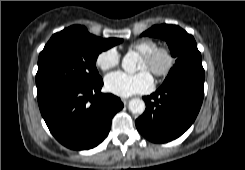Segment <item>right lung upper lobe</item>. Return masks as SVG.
Here are the masks:
<instances>
[{
	"mask_svg": "<svg viewBox=\"0 0 245 170\" xmlns=\"http://www.w3.org/2000/svg\"><path fill=\"white\" fill-rule=\"evenodd\" d=\"M69 28H85V27L80 26V25H74V26H71V27H69ZM92 36H94V35H92ZM94 37H96V36H94ZM96 38H99V37H96ZM99 39H101V38H99ZM102 40L113 41V40H115V38L102 39Z\"/></svg>",
	"mask_w": 245,
	"mask_h": 170,
	"instance_id": "1",
	"label": "right lung upper lobe"
}]
</instances>
